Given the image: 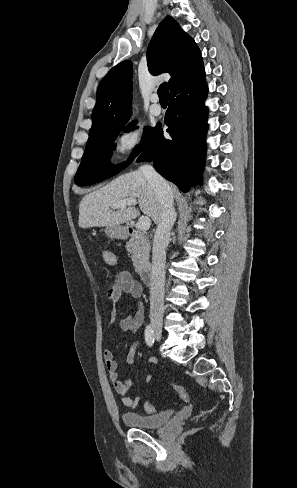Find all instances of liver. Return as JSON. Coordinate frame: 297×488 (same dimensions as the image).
I'll use <instances>...</instances> for the list:
<instances>
[{"mask_svg":"<svg viewBox=\"0 0 297 488\" xmlns=\"http://www.w3.org/2000/svg\"><path fill=\"white\" fill-rule=\"evenodd\" d=\"M127 198L138 199L141 211L159 223L161 204L157 193L142 171L135 170L85 195L79 205V226L83 229L120 226L136 218L139 211L133 206L122 207L117 211L110 209L111 205Z\"/></svg>","mask_w":297,"mask_h":488,"instance_id":"1","label":"liver"}]
</instances>
